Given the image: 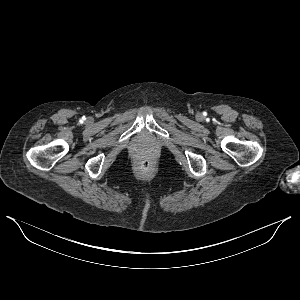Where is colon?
<instances>
[{
	"instance_id": "5ec220e1",
	"label": "colon",
	"mask_w": 300,
	"mask_h": 300,
	"mask_svg": "<svg viewBox=\"0 0 300 300\" xmlns=\"http://www.w3.org/2000/svg\"><path fill=\"white\" fill-rule=\"evenodd\" d=\"M139 166L141 169L143 170H148L151 168L152 166V162L149 159H142L139 163Z\"/></svg>"
}]
</instances>
